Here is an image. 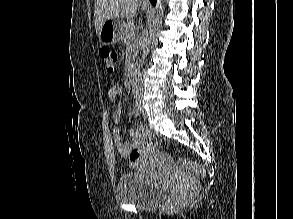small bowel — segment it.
<instances>
[{
  "label": "small bowel",
  "mask_w": 293,
  "mask_h": 219,
  "mask_svg": "<svg viewBox=\"0 0 293 219\" xmlns=\"http://www.w3.org/2000/svg\"><path fill=\"white\" fill-rule=\"evenodd\" d=\"M123 89L120 86L112 87L108 92V99L112 104L113 110V121L115 123V127L113 129L114 135V143L117 151L122 157H128L130 151L141 145L144 141L146 128L143 125H139L137 130H131L129 134L131 135L132 139L129 142H124L122 140V136L119 129V124L122 118V104L118 101V97L122 95Z\"/></svg>",
  "instance_id": "obj_1"
}]
</instances>
